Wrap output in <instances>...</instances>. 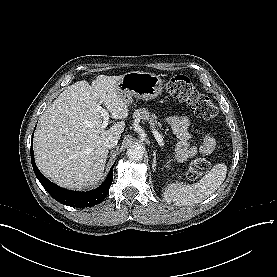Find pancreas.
Returning <instances> with one entry per match:
<instances>
[{
	"label": "pancreas",
	"instance_id": "cf45deb5",
	"mask_svg": "<svg viewBox=\"0 0 277 277\" xmlns=\"http://www.w3.org/2000/svg\"><path fill=\"white\" fill-rule=\"evenodd\" d=\"M133 118L146 121L150 123L152 127H162V124L157 120V116L155 114H151L146 108L136 109L133 113Z\"/></svg>",
	"mask_w": 277,
	"mask_h": 277
}]
</instances>
